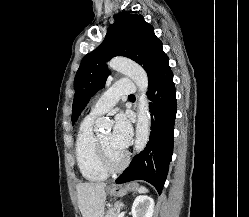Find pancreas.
<instances>
[{"label": "pancreas", "instance_id": "1", "mask_svg": "<svg viewBox=\"0 0 249 217\" xmlns=\"http://www.w3.org/2000/svg\"><path fill=\"white\" fill-rule=\"evenodd\" d=\"M122 208V203L117 202L112 208H110L105 217H118L120 209Z\"/></svg>", "mask_w": 249, "mask_h": 217}]
</instances>
